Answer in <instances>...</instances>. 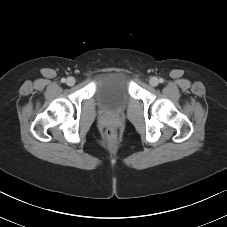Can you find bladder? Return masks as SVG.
<instances>
[{
  "label": "bladder",
  "instance_id": "31cf9c89",
  "mask_svg": "<svg viewBox=\"0 0 227 227\" xmlns=\"http://www.w3.org/2000/svg\"><path fill=\"white\" fill-rule=\"evenodd\" d=\"M94 96L105 111L123 110L131 99L129 75L121 71L98 74L94 80Z\"/></svg>",
  "mask_w": 227,
  "mask_h": 227
}]
</instances>
